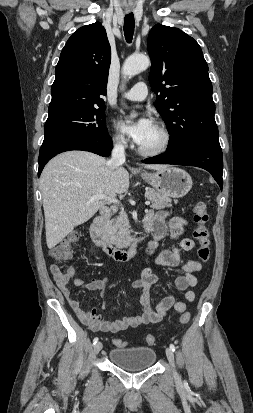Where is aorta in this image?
Returning <instances> with one entry per match:
<instances>
[{"instance_id":"1","label":"aorta","mask_w":253,"mask_h":413,"mask_svg":"<svg viewBox=\"0 0 253 413\" xmlns=\"http://www.w3.org/2000/svg\"><path fill=\"white\" fill-rule=\"evenodd\" d=\"M149 64L150 59L146 55H132L125 60L122 75L124 78H131L147 69Z\"/></svg>"}]
</instances>
